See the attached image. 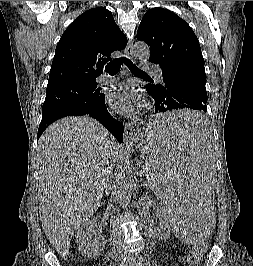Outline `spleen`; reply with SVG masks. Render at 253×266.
<instances>
[{
	"label": "spleen",
	"mask_w": 253,
	"mask_h": 266,
	"mask_svg": "<svg viewBox=\"0 0 253 266\" xmlns=\"http://www.w3.org/2000/svg\"><path fill=\"white\" fill-rule=\"evenodd\" d=\"M205 115L200 111H164L150 118L153 145L140 167L155 204H162L176 229L180 248H207L217 235L211 185L215 178L211 160L213 142Z\"/></svg>",
	"instance_id": "spleen-1"
}]
</instances>
